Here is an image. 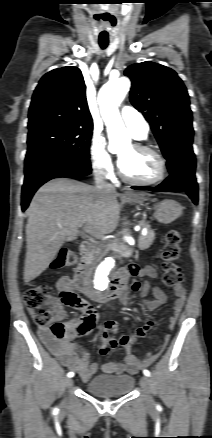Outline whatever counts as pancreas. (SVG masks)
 I'll use <instances>...</instances> for the list:
<instances>
[{
  "label": "pancreas",
  "mask_w": 212,
  "mask_h": 438,
  "mask_svg": "<svg viewBox=\"0 0 212 438\" xmlns=\"http://www.w3.org/2000/svg\"><path fill=\"white\" fill-rule=\"evenodd\" d=\"M154 238H155L154 231L148 228L147 234L145 236H143V235L139 236V238H138V248L140 250L148 249L152 245V243L154 241ZM103 253L104 252L101 251V250H96L95 251V255L93 257H91L89 260L93 261L96 256H101V255H103Z\"/></svg>",
  "instance_id": "pancreas-1"
}]
</instances>
